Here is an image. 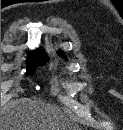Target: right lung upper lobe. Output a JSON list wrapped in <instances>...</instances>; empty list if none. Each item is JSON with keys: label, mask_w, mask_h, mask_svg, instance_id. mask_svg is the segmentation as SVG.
Masks as SVG:
<instances>
[{"label": "right lung upper lobe", "mask_w": 123, "mask_h": 130, "mask_svg": "<svg viewBox=\"0 0 123 130\" xmlns=\"http://www.w3.org/2000/svg\"><path fill=\"white\" fill-rule=\"evenodd\" d=\"M31 56H45L44 52H42L41 50H36L35 52H32Z\"/></svg>", "instance_id": "1"}]
</instances>
